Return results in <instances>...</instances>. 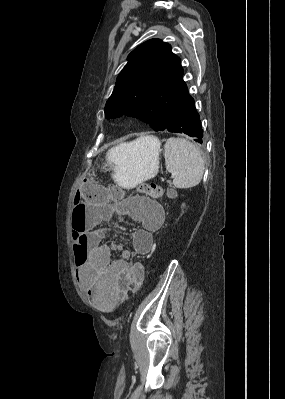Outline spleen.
Returning <instances> with one entry per match:
<instances>
[{
	"instance_id": "3e777b00",
	"label": "spleen",
	"mask_w": 285,
	"mask_h": 399,
	"mask_svg": "<svg viewBox=\"0 0 285 399\" xmlns=\"http://www.w3.org/2000/svg\"><path fill=\"white\" fill-rule=\"evenodd\" d=\"M165 165L173 176L177 188L187 189L198 185L204 173L201 151L183 138L170 137L165 143Z\"/></svg>"
}]
</instances>
